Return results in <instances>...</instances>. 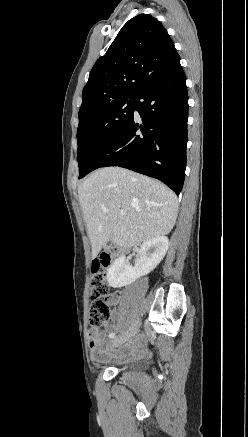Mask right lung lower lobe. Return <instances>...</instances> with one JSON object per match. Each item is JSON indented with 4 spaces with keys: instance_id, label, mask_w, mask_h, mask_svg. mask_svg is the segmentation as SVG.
<instances>
[{
    "instance_id": "obj_1",
    "label": "right lung lower lobe",
    "mask_w": 248,
    "mask_h": 437,
    "mask_svg": "<svg viewBox=\"0 0 248 437\" xmlns=\"http://www.w3.org/2000/svg\"><path fill=\"white\" fill-rule=\"evenodd\" d=\"M133 116L119 136L95 159L91 171L119 166L157 178L179 195L186 168L188 95L176 55L135 96Z\"/></svg>"
}]
</instances>
